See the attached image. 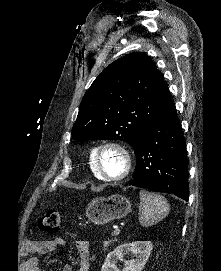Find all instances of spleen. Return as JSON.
Masks as SVG:
<instances>
[{
    "mask_svg": "<svg viewBox=\"0 0 221 271\" xmlns=\"http://www.w3.org/2000/svg\"><path fill=\"white\" fill-rule=\"evenodd\" d=\"M170 211L169 203L163 195L151 193V191H140L139 221L141 225H155L164 219Z\"/></svg>",
    "mask_w": 221,
    "mask_h": 271,
    "instance_id": "spleen-1",
    "label": "spleen"
}]
</instances>
